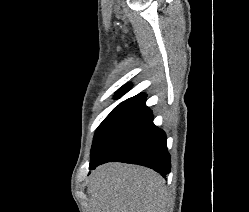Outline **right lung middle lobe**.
<instances>
[{
  "label": "right lung middle lobe",
  "instance_id": "dd1d6c3e",
  "mask_svg": "<svg viewBox=\"0 0 249 212\" xmlns=\"http://www.w3.org/2000/svg\"><path fill=\"white\" fill-rule=\"evenodd\" d=\"M120 95H116L115 98H119ZM137 99L136 97L129 98L123 102H121L118 106H116L110 114L103 120V122L99 125L97 128L94 139H93V144H92V149H91V155L97 148L99 142L105 135V133L108 131L109 127L113 124V122L118 118V116L127 108V106Z\"/></svg>",
  "mask_w": 249,
  "mask_h": 212
}]
</instances>
